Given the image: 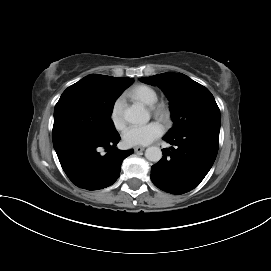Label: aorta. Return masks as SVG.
Segmentation results:
<instances>
[{
  "label": "aorta",
  "instance_id": "1",
  "mask_svg": "<svg viewBox=\"0 0 271 271\" xmlns=\"http://www.w3.org/2000/svg\"><path fill=\"white\" fill-rule=\"evenodd\" d=\"M123 117L132 124H145L150 120L149 112L141 104H134L126 108ZM145 157L151 162H158L162 158V151L156 146L148 147L145 151Z\"/></svg>",
  "mask_w": 271,
  "mask_h": 271
}]
</instances>
